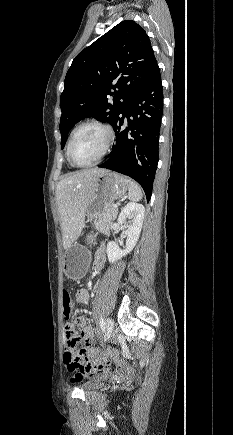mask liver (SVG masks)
<instances>
[{"label": "liver", "mask_w": 233, "mask_h": 435, "mask_svg": "<svg viewBox=\"0 0 233 435\" xmlns=\"http://www.w3.org/2000/svg\"><path fill=\"white\" fill-rule=\"evenodd\" d=\"M106 171L98 168L76 171L57 184L56 201L64 249L70 248L80 236L96 179Z\"/></svg>", "instance_id": "6515ba94"}]
</instances>
